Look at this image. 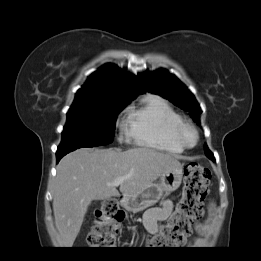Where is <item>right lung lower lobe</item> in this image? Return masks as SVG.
Here are the masks:
<instances>
[{"label": "right lung lower lobe", "instance_id": "obj_1", "mask_svg": "<svg viewBox=\"0 0 261 261\" xmlns=\"http://www.w3.org/2000/svg\"><path fill=\"white\" fill-rule=\"evenodd\" d=\"M71 152L70 150L68 151H57L56 153V158H57V162H59V160L64 156L66 155L67 153Z\"/></svg>", "mask_w": 261, "mask_h": 261}]
</instances>
